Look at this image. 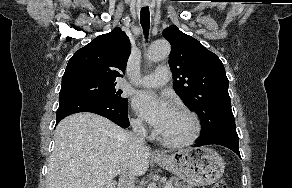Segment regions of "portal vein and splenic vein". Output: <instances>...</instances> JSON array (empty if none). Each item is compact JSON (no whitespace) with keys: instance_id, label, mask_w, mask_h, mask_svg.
Masks as SVG:
<instances>
[{"instance_id":"obj_1","label":"portal vein and splenic vein","mask_w":292,"mask_h":188,"mask_svg":"<svg viewBox=\"0 0 292 188\" xmlns=\"http://www.w3.org/2000/svg\"><path fill=\"white\" fill-rule=\"evenodd\" d=\"M164 188H172V183L171 182H167Z\"/></svg>"}]
</instances>
